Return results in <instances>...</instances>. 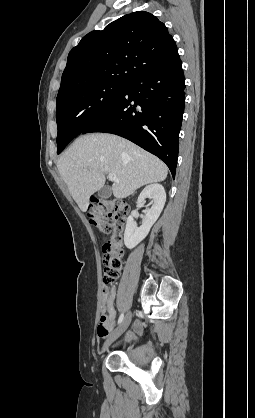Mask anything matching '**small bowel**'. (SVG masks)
Returning a JSON list of instances; mask_svg holds the SVG:
<instances>
[{"label": "small bowel", "mask_w": 255, "mask_h": 418, "mask_svg": "<svg viewBox=\"0 0 255 418\" xmlns=\"http://www.w3.org/2000/svg\"><path fill=\"white\" fill-rule=\"evenodd\" d=\"M104 300L102 304V314L106 316L105 328H97V335L99 338L107 337L114 329L116 310L114 306L116 291L114 288L108 289L107 287L103 288ZM133 337V333H128L124 335V339L129 340Z\"/></svg>", "instance_id": "obj_1"}]
</instances>
